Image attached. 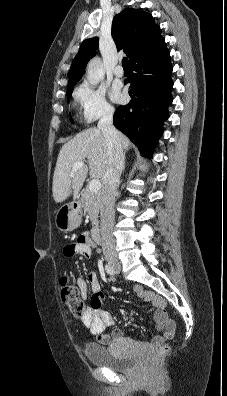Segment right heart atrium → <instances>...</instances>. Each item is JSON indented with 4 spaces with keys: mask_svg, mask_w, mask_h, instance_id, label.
Listing matches in <instances>:
<instances>
[{
    "mask_svg": "<svg viewBox=\"0 0 227 396\" xmlns=\"http://www.w3.org/2000/svg\"><path fill=\"white\" fill-rule=\"evenodd\" d=\"M74 97L80 105L84 120L88 123L111 117L114 113V108L107 100L106 91L103 87L83 82L76 89Z\"/></svg>",
    "mask_w": 227,
    "mask_h": 396,
    "instance_id": "1",
    "label": "right heart atrium"
}]
</instances>
